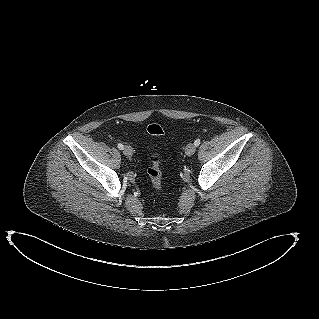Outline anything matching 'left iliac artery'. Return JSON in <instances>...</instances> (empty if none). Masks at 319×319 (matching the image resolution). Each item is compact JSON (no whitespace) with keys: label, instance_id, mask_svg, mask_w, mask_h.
Returning a JSON list of instances; mask_svg holds the SVG:
<instances>
[{"label":"left iliac artery","instance_id":"44dca946","mask_svg":"<svg viewBox=\"0 0 319 319\" xmlns=\"http://www.w3.org/2000/svg\"><path fill=\"white\" fill-rule=\"evenodd\" d=\"M195 146H199L200 144V139H196L195 142H194Z\"/></svg>","mask_w":319,"mask_h":319}]
</instances>
